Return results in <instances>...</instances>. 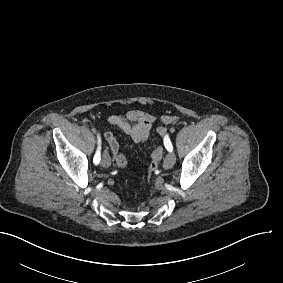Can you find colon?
Listing matches in <instances>:
<instances>
[{
    "instance_id": "colon-1",
    "label": "colon",
    "mask_w": 283,
    "mask_h": 283,
    "mask_svg": "<svg viewBox=\"0 0 283 283\" xmlns=\"http://www.w3.org/2000/svg\"><path fill=\"white\" fill-rule=\"evenodd\" d=\"M163 154V149L161 147L156 148L150 156V164H149V181L154 180L156 175L158 174V165Z\"/></svg>"
}]
</instances>
